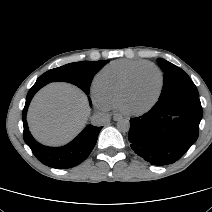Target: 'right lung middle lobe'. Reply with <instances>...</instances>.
<instances>
[{"instance_id": "right-lung-middle-lobe-1", "label": "right lung middle lobe", "mask_w": 212, "mask_h": 212, "mask_svg": "<svg viewBox=\"0 0 212 212\" xmlns=\"http://www.w3.org/2000/svg\"><path fill=\"white\" fill-rule=\"evenodd\" d=\"M107 63V60L69 63L45 72L37 81L46 84L55 81L69 82L89 94V85L93 75Z\"/></svg>"}]
</instances>
